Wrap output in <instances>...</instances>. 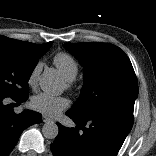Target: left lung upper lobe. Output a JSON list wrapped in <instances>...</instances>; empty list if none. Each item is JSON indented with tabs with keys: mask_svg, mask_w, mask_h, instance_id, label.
<instances>
[{
	"mask_svg": "<svg viewBox=\"0 0 156 156\" xmlns=\"http://www.w3.org/2000/svg\"><path fill=\"white\" fill-rule=\"evenodd\" d=\"M65 47L84 67V85L71 111L90 113L119 108L133 113L137 78L129 58L119 47L96 42L66 43Z\"/></svg>",
	"mask_w": 156,
	"mask_h": 156,
	"instance_id": "obj_1",
	"label": "left lung upper lobe"
}]
</instances>
